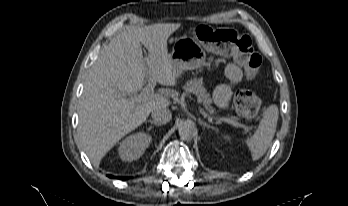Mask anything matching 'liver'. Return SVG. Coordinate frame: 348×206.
<instances>
[{"mask_svg":"<svg viewBox=\"0 0 348 206\" xmlns=\"http://www.w3.org/2000/svg\"><path fill=\"white\" fill-rule=\"evenodd\" d=\"M180 23L129 27L103 48L84 86L79 111V134L94 165L125 135L146 121L156 108H167L169 93L161 90L151 100L138 103L130 95L140 91L146 76L161 85L175 86L167 40ZM142 45L148 50L143 56Z\"/></svg>","mask_w":348,"mask_h":206,"instance_id":"liver-1","label":"liver"}]
</instances>
